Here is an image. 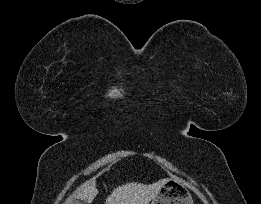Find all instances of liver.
<instances>
[{"mask_svg":"<svg viewBox=\"0 0 261 204\" xmlns=\"http://www.w3.org/2000/svg\"><path fill=\"white\" fill-rule=\"evenodd\" d=\"M167 181L168 179H162L149 185L131 182L118 186L107 197L105 204H149ZM97 194L96 183L91 181L82 185L74 198L66 204H71L76 199L92 202Z\"/></svg>","mask_w":261,"mask_h":204,"instance_id":"obj_1","label":"liver"}]
</instances>
